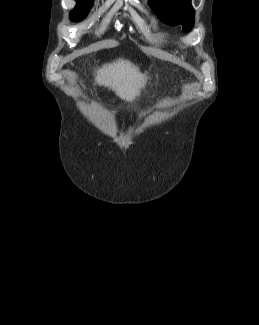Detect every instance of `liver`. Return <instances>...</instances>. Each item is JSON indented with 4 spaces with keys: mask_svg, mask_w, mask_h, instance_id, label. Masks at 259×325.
Listing matches in <instances>:
<instances>
[{
    "mask_svg": "<svg viewBox=\"0 0 259 325\" xmlns=\"http://www.w3.org/2000/svg\"><path fill=\"white\" fill-rule=\"evenodd\" d=\"M95 80L100 86L115 91L121 99L131 102L145 87L147 77L130 61L118 59L99 68Z\"/></svg>",
    "mask_w": 259,
    "mask_h": 325,
    "instance_id": "6515ba94",
    "label": "liver"
}]
</instances>
